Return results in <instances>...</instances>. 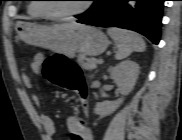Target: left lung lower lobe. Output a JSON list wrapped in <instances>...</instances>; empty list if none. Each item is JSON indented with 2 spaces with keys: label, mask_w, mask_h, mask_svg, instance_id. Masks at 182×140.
Here are the masks:
<instances>
[{
  "label": "left lung lower lobe",
  "mask_w": 182,
  "mask_h": 140,
  "mask_svg": "<svg viewBox=\"0 0 182 140\" xmlns=\"http://www.w3.org/2000/svg\"><path fill=\"white\" fill-rule=\"evenodd\" d=\"M127 2L128 0H99L77 22L133 30L158 44L164 0H137L135 9Z\"/></svg>",
  "instance_id": "1"
}]
</instances>
